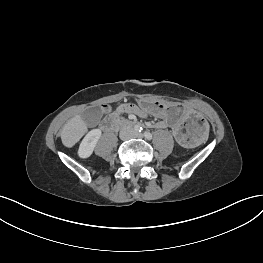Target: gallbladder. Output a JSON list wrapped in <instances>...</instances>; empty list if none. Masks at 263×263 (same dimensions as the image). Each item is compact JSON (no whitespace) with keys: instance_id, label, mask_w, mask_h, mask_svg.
<instances>
[{"instance_id":"obj_1","label":"gallbladder","mask_w":263,"mask_h":263,"mask_svg":"<svg viewBox=\"0 0 263 263\" xmlns=\"http://www.w3.org/2000/svg\"><path fill=\"white\" fill-rule=\"evenodd\" d=\"M82 117L87 125H97L102 117V108L100 106L90 107L83 112Z\"/></svg>"}]
</instances>
